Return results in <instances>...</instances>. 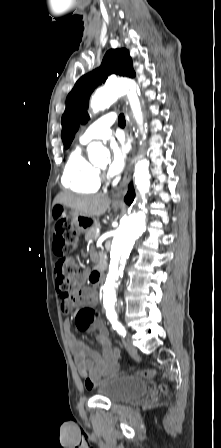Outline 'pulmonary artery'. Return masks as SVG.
<instances>
[{
    "label": "pulmonary artery",
    "mask_w": 221,
    "mask_h": 448,
    "mask_svg": "<svg viewBox=\"0 0 221 448\" xmlns=\"http://www.w3.org/2000/svg\"><path fill=\"white\" fill-rule=\"evenodd\" d=\"M115 119L116 116L112 112L99 117L84 130L80 137V142L87 144L95 139L109 138L111 135L110 126Z\"/></svg>",
    "instance_id": "obj_1"
}]
</instances>
